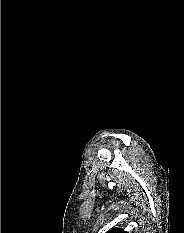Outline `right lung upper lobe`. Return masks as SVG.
Instances as JSON below:
<instances>
[{"label": "right lung upper lobe", "mask_w": 184, "mask_h": 233, "mask_svg": "<svg viewBox=\"0 0 184 233\" xmlns=\"http://www.w3.org/2000/svg\"><path fill=\"white\" fill-rule=\"evenodd\" d=\"M108 233H127L126 231H124L123 229H113L111 231H109Z\"/></svg>", "instance_id": "cb5924a9"}]
</instances>
